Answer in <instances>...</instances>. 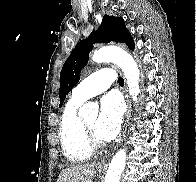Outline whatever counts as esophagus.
<instances>
[{
    "mask_svg": "<svg viewBox=\"0 0 196 182\" xmlns=\"http://www.w3.org/2000/svg\"><path fill=\"white\" fill-rule=\"evenodd\" d=\"M125 97H126V101H127V112H126V117H125V121H124V126L121 132V135L123 136L124 133L126 132V128H127V122L129 120L130 117V112H131V103H130V99H129V95H128V90H127V86L125 87ZM121 141V139H120ZM119 141V143H120ZM98 167H105L106 163L104 161L99 162L97 164Z\"/></svg>",
    "mask_w": 196,
    "mask_h": 182,
    "instance_id": "1",
    "label": "esophagus"
}]
</instances>
